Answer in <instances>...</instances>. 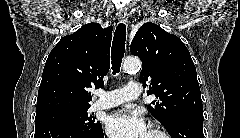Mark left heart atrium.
Masks as SVG:
<instances>
[{
    "mask_svg": "<svg viewBox=\"0 0 240 138\" xmlns=\"http://www.w3.org/2000/svg\"><path fill=\"white\" fill-rule=\"evenodd\" d=\"M106 129L112 138H147L149 130L136 111L119 110L107 120Z\"/></svg>",
    "mask_w": 240,
    "mask_h": 138,
    "instance_id": "1",
    "label": "left heart atrium"
}]
</instances>
